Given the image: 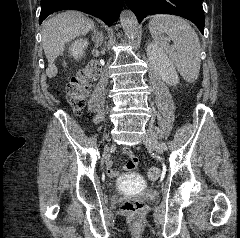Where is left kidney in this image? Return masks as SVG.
I'll return each mask as SVG.
<instances>
[{
    "instance_id": "1",
    "label": "left kidney",
    "mask_w": 240,
    "mask_h": 238,
    "mask_svg": "<svg viewBox=\"0 0 240 238\" xmlns=\"http://www.w3.org/2000/svg\"><path fill=\"white\" fill-rule=\"evenodd\" d=\"M147 56L153 69L168 85H176L179 81L178 74L172 61L158 44L152 42L147 46Z\"/></svg>"
}]
</instances>
